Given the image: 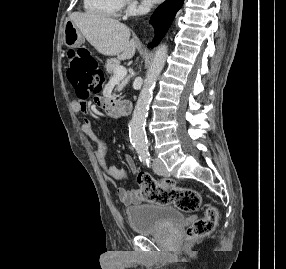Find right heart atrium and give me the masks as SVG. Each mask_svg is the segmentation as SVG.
Wrapping results in <instances>:
<instances>
[{
  "label": "right heart atrium",
  "mask_w": 286,
  "mask_h": 269,
  "mask_svg": "<svg viewBox=\"0 0 286 269\" xmlns=\"http://www.w3.org/2000/svg\"><path fill=\"white\" fill-rule=\"evenodd\" d=\"M129 10L134 12H140L144 10V7L136 4L135 2H129Z\"/></svg>",
  "instance_id": "1"
}]
</instances>
